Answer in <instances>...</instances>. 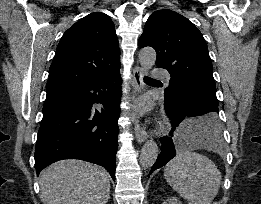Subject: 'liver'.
Returning a JSON list of instances; mask_svg holds the SVG:
<instances>
[{
    "instance_id": "obj_1",
    "label": "liver",
    "mask_w": 261,
    "mask_h": 204,
    "mask_svg": "<svg viewBox=\"0 0 261 204\" xmlns=\"http://www.w3.org/2000/svg\"><path fill=\"white\" fill-rule=\"evenodd\" d=\"M47 204H106L110 182L105 169L80 160H63L47 167L40 176Z\"/></svg>"
}]
</instances>
